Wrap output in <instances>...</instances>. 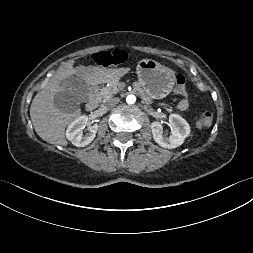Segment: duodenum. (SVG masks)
Here are the masks:
<instances>
[{"label":"duodenum","mask_w":253,"mask_h":253,"mask_svg":"<svg viewBox=\"0 0 253 253\" xmlns=\"http://www.w3.org/2000/svg\"><path fill=\"white\" fill-rule=\"evenodd\" d=\"M89 99L86 103V110L88 112H93L98 107V88L96 85L89 86Z\"/></svg>","instance_id":"duodenum-1"}]
</instances>
